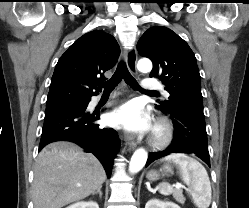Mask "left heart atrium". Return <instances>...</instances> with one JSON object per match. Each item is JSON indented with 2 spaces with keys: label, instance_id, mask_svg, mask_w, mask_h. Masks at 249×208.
I'll list each match as a JSON object with an SVG mask.
<instances>
[{
  "label": "left heart atrium",
  "instance_id": "1",
  "mask_svg": "<svg viewBox=\"0 0 249 208\" xmlns=\"http://www.w3.org/2000/svg\"><path fill=\"white\" fill-rule=\"evenodd\" d=\"M111 124L121 126L133 133H144L151 130V121L142 106L135 101L127 102L116 109L110 116Z\"/></svg>",
  "mask_w": 249,
  "mask_h": 208
}]
</instances>
